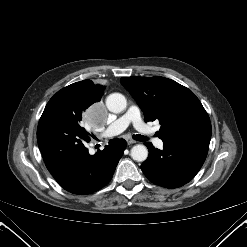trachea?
I'll use <instances>...</instances> for the list:
<instances>
[{"label":"trachea","mask_w":247,"mask_h":247,"mask_svg":"<svg viewBox=\"0 0 247 247\" xmlns=\"http://www.w3.org/2000/svg\"><path fill=\"white\" fill-rule=\"evenodd\" d=\"M133 139L137 141H147V137L139 135V134L133 135Z\"/></svg>","instance_id":"1"}]
</instances>
